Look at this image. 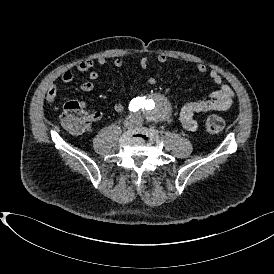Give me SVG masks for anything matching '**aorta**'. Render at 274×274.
Masks as SVG:
<instances>
[{
	"label": "aorta",
	"instance_id": "762f6f07",
	"mask_svg": "<svg viewBox=\"0 0 274 274\" xmlns=\"http://www.w3.org/2000/svg\"><path fill=\"white\" fill-rule=\"evenodd\" d=\"M150 97L153 99L152 115L157 119L165 117L170 111L168 100L163 95L157 93L151 94Z\"/></svg>",
	"mask_w": 274,
	"mask_h": 274
}]
</instances>
